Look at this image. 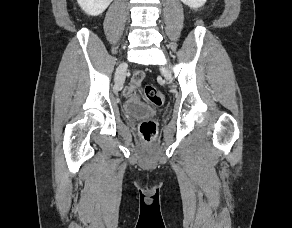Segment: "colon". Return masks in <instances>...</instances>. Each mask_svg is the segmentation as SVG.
I'll return each instance as SVG.
<instances>
[{
    "mask_svg": "<svg viewBox=\"0 0 292 228\" xmlns=\"http://www.w3.org/2000/svg\"><path fill=\"white\" fill-rule=\"evenodd\" d=\"M144 93L146 99L156 106H161L165 102L164 94L153 86H146ZM139 131L146 143H152L157 136V123L151 119L144 120L140 124Z\"/></svg>",
    "mask_w": 292,
    "mask_h": 228,
    "instance_id": "5ec220e1",
    "label": "colon"
}]
</instances>
